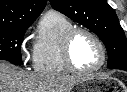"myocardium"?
Instances as JSON below:
<instances>
[{"mask_svg":"<svg viewBox=\"0 0 127 92\" xmlns=\"http://www.w3.org/2000/svg\"><path fill=\"white\" fill-rule=\"evenodd\" d=\"M80 33H85L89 35L98 45L101 52V60L99 64L90 69H80L78 68L72 58V44L76 36ZM106 48L100 39V37L91 29L86 27H72L66 32L62 40V59L66 68L76 74H90L99 71L106 63Z\"/></svg>","mask_w":127,"mask_h":92,"instance_id":"obj_1","label":"myocardium"}]
</instances>
